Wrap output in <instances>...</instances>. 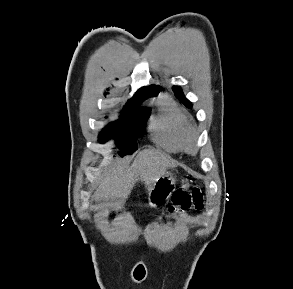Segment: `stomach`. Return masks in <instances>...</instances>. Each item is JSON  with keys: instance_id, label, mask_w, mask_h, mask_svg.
Listing matches in <instances>:
<instances>
[{"instance_id": "1", "label": "stomach", "mask_w": 293, "mask_h": 289, "mask_svg": "<svg viewBox=\"0 0 293 289\" xmlns=\"http://www.w3.org/2000/svg\"><path fill=\"white\" fill-rule=\"evenodd\" d=\"M175 188V180L170 173H166L160 177L153 185L149 192V205L151 207L157 208L165 201H167Z\"/></svg>"}]
</instances>
